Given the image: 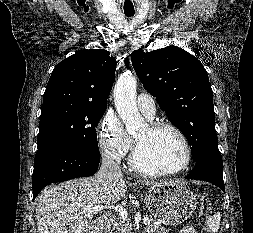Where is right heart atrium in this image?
I'll list each match as a JSON object with an SVG mask.
<instances>
[{"label":"right heart atrium","instance_id":"obj_1","mask_svg":"<svg viewBox=\"0 0 253 233\" xmlns=\"http://www.w3.org/2000/svg\"><path fill=\"white\" fill-rule=\"evenodd\" d=\"M98 143L104 155L120 162L131 150L133 139L125 131L119 118L112 113H107L98 126Z\"/></svg>","mask_w":253,"mask_h":233}]
</instances>
